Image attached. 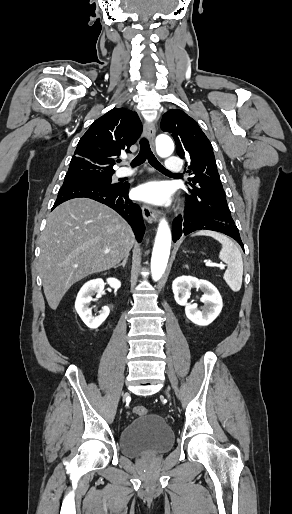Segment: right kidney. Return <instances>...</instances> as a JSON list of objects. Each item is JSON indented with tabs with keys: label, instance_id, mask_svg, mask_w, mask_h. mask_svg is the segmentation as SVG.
Instances as JSON below:
<instances>
[{
	"label": "right kidney",
	"instance_id": "ca27d5eb",
	"mask_svg": "<svg viewBox=\"0 0 292 514\" xmlns=\"http://www.w3.org/2000/svg\"><path fill=\"white\" fill-rule=\"evenodd\" d=\"M107 284H109L111 288H114V290H118L121 286V282L116 280V278H108ZM104 286L105 284L100 278H98V280H90V282H86V284L82 286L76 298L75 310L84 324H86L88 328H91V330L99 328V326L105 322L107 316H109L110 310L108 306H104V308L100 310L99 316H92L91 308H89L90 302H96V298H101ZM95 294H97V296L95 300H93L91 296H95Z\"/></svg>",
	"mask_w": 292,
	"mask_h": 514
}]
</instances>
